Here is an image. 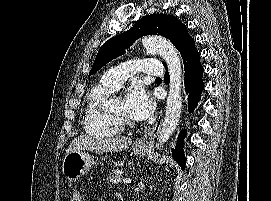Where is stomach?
<instances>
[{
	"label": "stomach",
	"instance_id": "1",
	"mask_svg": "<svg viewBox=\"0 0 271 201\" xmlns=\"http://www.w3.org/2000/svg\"><path fill=\"white\" fill-rule=\"evenodd\" d=\"M147 146H133V152L137 155L144 154ZM96 164L95 157L84 151H74L67 154L63 160L62 172L69 181H76L86 174Z\"/></svg>",
	"mask_w": 271,
	"mask_h": 201
}]
</instances>
